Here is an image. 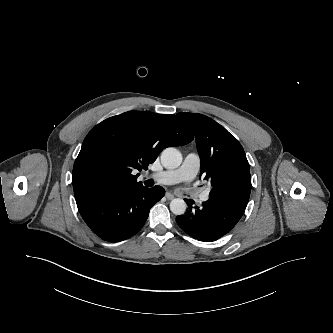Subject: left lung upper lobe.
I'll list each match as a JSON object with an SVG mask.
<instances>
[{
	"instance_id": "obj_1",
	"label": "left lung upper lobe",
	"mask_w": 333,
	"mask_h": 333,
	"mask_svg": "<svg viewBox=\"0 0 333 333\" xmlns=\"http://www.w3.org/2000/svg\"><path fill=\"white\" fill-rule=\"evenodd\" d=\"M193 129L201 158L200 175L214 188L222 180L249 172L241 144L220 124L197 113H178Z\"/></svg>"
}]
</instances>
